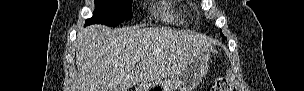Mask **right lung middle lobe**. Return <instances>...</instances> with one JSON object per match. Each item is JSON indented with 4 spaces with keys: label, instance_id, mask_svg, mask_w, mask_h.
<instances>
[{
    "label": "right lung middle lobe",
    "instance_id": "right-lung-middle-lobe-1",
    "mask_svg": "<svg viewBox=\"0 0 304 91\" xmlns=\"http://www.w3.org/2000/svg\"><path fill=\"white\" fill-rule=\"evenodd\" d=\"M132 17V0H95L93 17L85 25L99 23L115 27Z\"/></svg>",
    "mask_w": 304,
    "mask_h": 91
}]
</instances>
